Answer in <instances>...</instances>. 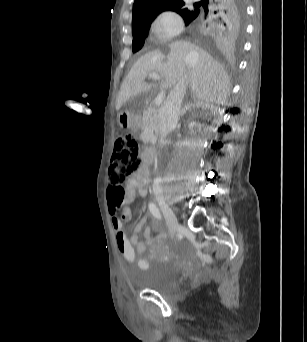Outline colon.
<instances>
[{"instance_id":"colon-1","label":"colon","mask_w":307,"mask_h":342,"mask_svg":"<svg viewBox=\"0 0 307 342\" xmlns=\"http://www.w3.org/2000/svg\"><path fill=\"white\" fill-rule=\"evenodd\" d=\"M140 145L137 138L132 134L120 135L115 143L113 160L110 166L108 191L111 206L116 207V190H123L125 179L134 173L141 164ZM128 215L127 213L125 214Z\"/></svg>"}]
</instances>
